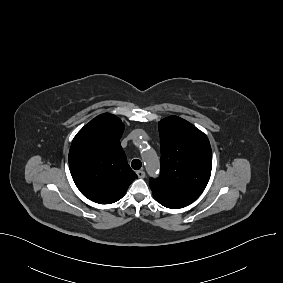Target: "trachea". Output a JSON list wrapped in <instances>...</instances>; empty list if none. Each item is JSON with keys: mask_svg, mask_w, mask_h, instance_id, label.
<instances>
[{"mask_svg": "<svg viewBox=\"0 0 283 283\" xmlns=\"http://www.w3.org/2000/svg\"><path fill=\"white\" fill-rule=\"evenodd\" d=\"M131 166L134 170H139L142 166V163L139 159H134L132 162H131Z\"/></svg>", "mask_w": 283, "mask_h": 283, "instance_id": "trachea-1", "label": "trachea"}]
</instances>
